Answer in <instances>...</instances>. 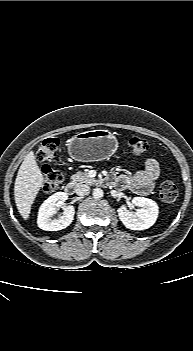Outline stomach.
Wrapping results in <instances>:
<instances>
[{
	"mask_svg": "<svg viewBox=\"0 0 193 351\" xmlns=\"http://www.w3.org/2000/svg\"><path fill=\"white\" fill-rule=\"evenodd\" d=\"M118 147L108 130H92L76 134L67 144L70 157L79 162L100 161L112 156Z\"/></svg>",
	"mask_w": 193,
	"mask_h": 351,
	"instance_id": "obj_1",
	"label": "stomach"
}]
</instances>
